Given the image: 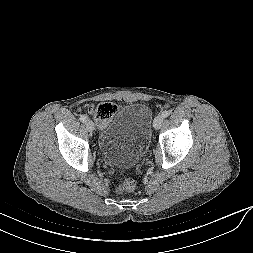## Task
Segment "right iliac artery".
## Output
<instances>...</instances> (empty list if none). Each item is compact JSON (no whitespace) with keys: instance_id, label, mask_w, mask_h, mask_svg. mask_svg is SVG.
<instances>
[{"instance_id":"obj_1","label":"right iliac artery","mask_w":253,"mask_h":253,"mask_svg":"<svg viewBox=\"0 0 253 253\" xmlns=\"http://www.w3.org/2000/svg\"><path fill=\"white\" fill-rule=\"evenodd\" d=\"M79 119L83 123H85L87 121V117L85 115H81Z\"/></svg>"}]
</instances>
